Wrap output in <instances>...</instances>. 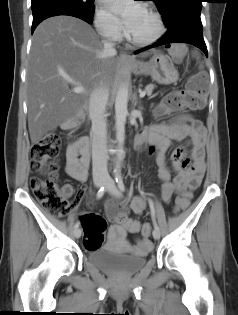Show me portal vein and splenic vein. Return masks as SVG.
<instances>
[{
  "instance_id": "1",
  "label": "portal vein and splenic vein",
  "mask_w": 238,
  "mask_h": 315,
  "mask_svg": "<svg viewBox=\"0 0 238 315\" xmlns=\"http://www.w3.org/2000/svg\"><path fill=\"white\" fill-rule=\"evenodd\" d=\"M68 82L71 83L72 85H75V87L73 88V92L75 93H79V94H82L85 92V89L84 87L80 86V85H77L75 81H73L72 79H68ZM146 94L145 91H142L140 92V97H144Z\"/></svg>"
}]
</instances>
